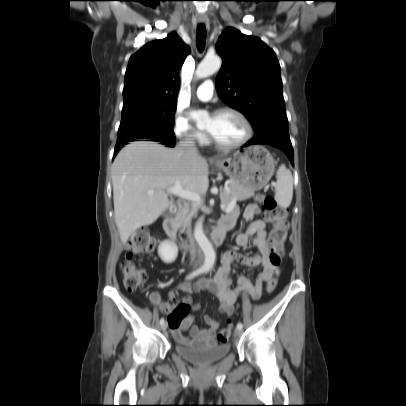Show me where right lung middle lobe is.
<instances>
[{"instance_id": "1", "label": "right lung middle lobe", "mask_w": 406, "mask_h": 406, "mask_svg": "<svg viewBox=\"0 0 406 406\" xmlns=\"http://www.w3.org/2000/svg\"><path fill=\"white\" fill-rule=\"evenodd\" d=\"M176 105L139 104L122 109L117 144L137 139L175 138L173 132Z\"/></svg>"}]
</instances>
